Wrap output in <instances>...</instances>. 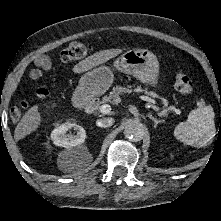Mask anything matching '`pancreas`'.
Wrapping results in <instances>:
<instances>
[{
    "label": "pancreas",
    "mask_w": 221,
    "mask_h": 221,
    "mask_svg": "<svg viewBox=\"0 0 221 221\" xmlns=\"http://www.w3.org/2000/svg\"><path fill=\"white\" fill-rule=\"evenodd\" d=\"M136 90L142 91L146 95H152V92L148 91L146 88L142 89L140 86H138L136 88ZM131 92H132L131 86H127V87L126 86H116L112 89V91L108 95H106L102 98L101 103L116 104L120 101L121 95L126 94V93H131Z\"/></svg>",
    "instance_id": "cf45deb5"
}]
</instances>
